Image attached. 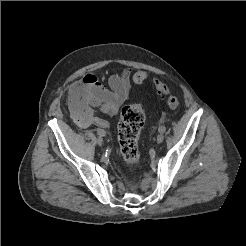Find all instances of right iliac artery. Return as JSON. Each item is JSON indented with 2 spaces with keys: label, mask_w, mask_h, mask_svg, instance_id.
I'll return each instance as SVG.
<instances>
[{
  "label": "right iliac artery",
  "mask_w": 246,
  "mask_h": 246,
  "mask_svg": "<svg viewBox=\"0 0 246 246\" xmlns=\"http://www.w3.org/2000/svg\"><path fill=\"white\" fill-rule=\"evenodd\" d=\"M97 134L99 136H105L106 135V132L104 130H102V129H98Z\"/></svg>",
  "instance_id": "82829eb1"
}]
</instances>
